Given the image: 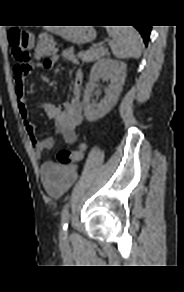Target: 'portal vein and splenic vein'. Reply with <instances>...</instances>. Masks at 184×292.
<instances>
[{
    "instance_id": "18ae733b",
    "label": "portal vein and splenic vein",
    "mask_w": 184,
    "mask_h": 292,
    "mask_svg": "<svg viewBox=\"0 0 184 292\" xmlns=\"http://www.w3.org/2000/svg\"><path fill=\"white\" fill-rule=\"evenodd\" d=\"M100 49H104L103 47H101ZM104 50H106V49H104Z\"/></svg>"
}]
</instances>
